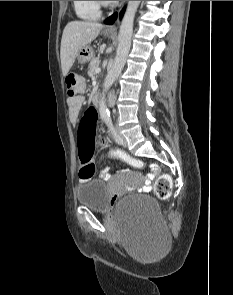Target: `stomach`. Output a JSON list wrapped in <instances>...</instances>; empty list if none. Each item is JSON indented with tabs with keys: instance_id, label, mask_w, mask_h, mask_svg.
Masks as SVG:
<instances>
[{
	"instance_id": "obj_1",
	"label": "stomach",
	"mask_w": 233,
	"mask_h": 295,
	"mask_svg": "<svg viewBox=\"0 0 233 295\" xmlns=\"http://www.w3.org/2000/svg\"><path fill=\"white\" fill-rule=\"evenodd\" d=\"M106 36H111L108 33H105ZM77 60L80 64H85L87 62H89L90 60H92L93 58V51L90 48V46H84L82 47L78 54H77Z\"/></svg>"
}]
</instances>
